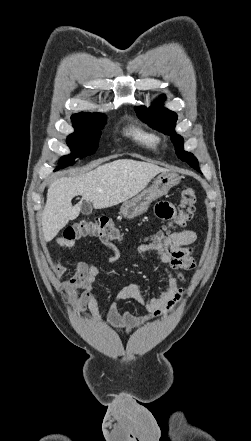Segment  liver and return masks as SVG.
<instances>
[{
	"label": "liver",
	"instance_id": "obj_1",
	"mask_svg": "<svg viewBox=\"0 0 251 441\" xmlns=\"http://www.w3.org/2000/svg\"><path fill=\"white\" fill-rule=\"evenodd\" d=\"M164 171L167 169L153 163L119 159L77 177L52 182L42 213L45 241H51L69 220L79 216L80 203H71L75 196L91 202L95 209L112 207L137 195Z\"/></svg>",
	"mask_w": 251,
	"mask_h": 441
}]
</instances>
